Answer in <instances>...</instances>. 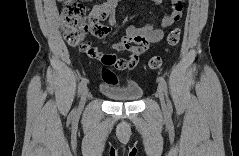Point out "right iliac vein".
Returning a JSON list of instances; mask_svg holds the SVG:
<instances>
[{
	"label": "right iliac vein",
	"mask_w": 239,
	"mask_h": 156,
	"mask_svg": "<svg viewBox=\"0 0 239 156\" xmlns=\"http://www.w3.org/2000/svg\"><path fill=\"white\" fill-rule=\"evenodd\" d=\"M87 96H88V89H87V87H85L84 90L82 91V94H81V99H80V102H79L78 112H81V110L83 109V107L85 105V102L87 100Z\"/></svg>",
	"instance_id": "1"
}]
</instances>
